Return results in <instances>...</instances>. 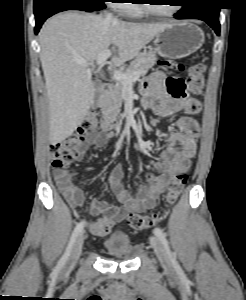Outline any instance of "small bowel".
Here are the masks:
<instances>
[{
  "label": "small bowel",
  "instance_id": "1",
  "mask_svg": "<svg viewBox=\"0 0 246 300\" xmlns=\"http://www.w3.org/2000/svg\"><path fill=\"white\" fill-rule=\"evenodd\" d=\"M141 95L142 107L153 109L162 115L191 114L192 105L199 104L196 99L185 93V83L182 79L167 77L159 71L152 73L142 82ZM175 126L178 131L169 135L160 154L162 161L153 163L157 173L146 171L144 181L135 182L134 195L122 184L123 165L119 164L111 170L108 182L121 206L106 200H92L90 212L98 216L96 221L88 225L92 234L109 233L127 212L153 209L173 175L181 170H188L197 150L199 125L190 115H183L176 120ZM113 137L114 133L110 131L93 133L86 143V148H100ZM54 178L63 196L78 214L85 203V195L73 183L72 174L65 169H55Z\"/></svg>",
  "mask_w": 246,
  "mask_h": 300
}]
</instances>
